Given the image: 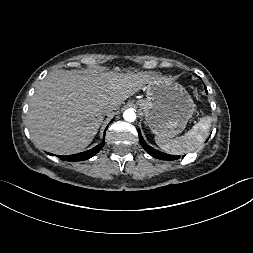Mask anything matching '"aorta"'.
Instances as JSON below:
<instances>
[{"instance_id":"1","label":"aorta","mask_w":253,"mask_h":253,"mask_svg":"<svg viewBox=\"0 0 253 253\" xmlns=\"http://www.w3.org/2000/svg\"><path fill=\"white\" fill-rule=\"evenodd\" d=\"M123 118L126 121L133 122L136 119V114L132 109H128L123 113Z\"/></svg>"}]
</instances>
